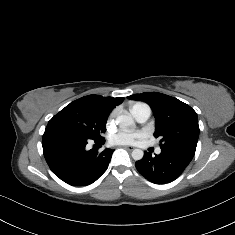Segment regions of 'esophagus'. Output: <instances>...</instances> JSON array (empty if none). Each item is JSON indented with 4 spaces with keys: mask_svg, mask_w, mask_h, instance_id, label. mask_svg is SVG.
<instances>
[{
    "mask_svg": "<svg viewBox=\"0 0 235 235\" xmlns=\"http://www.w3.org/2000/svg\"><path fill=\"white\" fill-rule=\"evenodd\" d=\"M122 148H124V149H126V150H128V151H132V150L134 149V147H132V146H127V145L122 146Z\"/></svg>",
    "mask_w": 235,
    "mask_h": 235,
    "instance_id": "obj_1",
    "label": "esophagus"
}]
</instances>
